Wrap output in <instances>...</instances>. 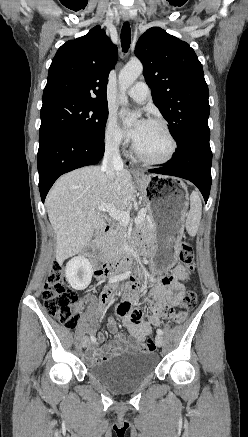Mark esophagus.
I'll use <instances>...</instances> for the list:
<instances>
[{"label":"esophagus","mask_w":248,"mask_h":437,"mask_svg":"<svg viewBox=\"0 0 248 437\" xmlns=\"http://www.w3.org/2000/svg\"><path fill=\"white\" fill-rule=\"evenodd\" d=\"M130 18H131L130 13L127 12V11L124 12V14H123V19H124V21H129ZM134 174H135L136 176H141V173H140L137 169H134Z\"/></svg>","instance_id":"34e87169"}]
</instances>
